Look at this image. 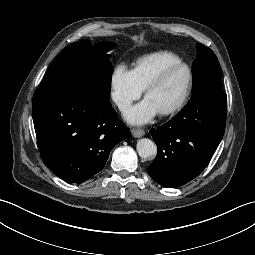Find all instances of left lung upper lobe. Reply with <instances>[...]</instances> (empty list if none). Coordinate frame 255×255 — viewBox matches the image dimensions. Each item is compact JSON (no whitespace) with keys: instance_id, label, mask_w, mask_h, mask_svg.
Listing matches in <instances>:
<instances>
[{"instance_id":"obj_1","label":"left lung upper lobe","mask_w":255,"mask_h":255,"mask_svg":"<svg viewBox=\"0 0 255 255\" xmlns=\"http://www.w3.org/2000/svg\"><path fill=\"white\" fill-rule=\"evenodd\" d=\"M197 57L192 65L194 96L208 88L222 89L219 62L214 52L198 43Z\"/></svg>"}]
</instances>
